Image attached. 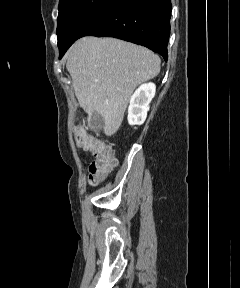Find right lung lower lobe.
Segmentation results:
<instances>
[{"label": "right lung lower lobe", "mask_w": 240, "mask_h": 288, "mask_svg": "<svg viewBox=\"0 0 240 288\" xmlns=\"http://www.w3.org/2000/svg\"><path fill=\"white\" fill-rule=\"evenodd\" d=\"M171 9L170 0H114L80 37L119 38L145 46L167 60ZM68 48L60 52V58Z\"/></svg>", "instance_id": "obj_1"}]
</instances>
